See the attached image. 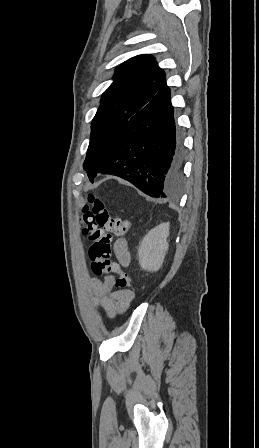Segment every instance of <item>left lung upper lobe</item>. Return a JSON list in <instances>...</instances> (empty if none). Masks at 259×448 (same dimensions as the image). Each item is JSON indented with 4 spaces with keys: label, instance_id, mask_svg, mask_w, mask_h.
<instances>
[{
    "label": "left lung upper lobe",
    "instance_id": "5c2ea615",
    "mask_svg": "<svg viewBox=\"0 0 259 448\" xmlns=\"http://www.w3.org/2000/svg\"><path fill=\"white\" fill-rule=\"evenodd\" d=\"M114 82L102 94L91 124V137L83 168L90 172L91 161L125 125L133 112L142 109L165 80V72L155 57L141 54L119 65Z\"/></svg>",
    "mask_w": 259,
    "mask_h": 448
}]
</instances>
